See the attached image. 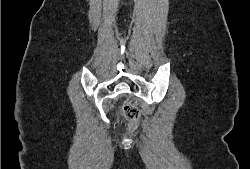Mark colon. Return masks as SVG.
I'll return each mask as SVG.
<instances>
[{"label": "colon", "mask_w": 250, "mask_h": 169, "mask_svg": "<svg viewBox=\"0 0 250 169\" xmlns=\"http://www.w3.org/2000/svg\"><path fill=\"white\" fill-rule=\"evenodd\" d=\"M123 102H121L120 110L123 111V115L125 120H131V122H128V126L126 127V130H124V135H133V131H137L138 127L142 126V123L140 120L142 119V116L139 115V110L135 108V106H132L133 104H136V99H125L124 97L121 98Z\"/></svg>", "instance_id": "1"}]
</instances>
